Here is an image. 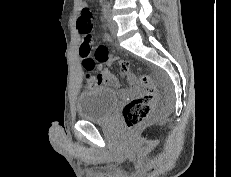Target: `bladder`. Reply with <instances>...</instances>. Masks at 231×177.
I'll return each mask as SVG.
<instances>
[{"label":"bladder","instance_id":"obj_1","mask_svg":"<svg viewBox=\"0 0 231 177\" xmlns=\"http://www.w3.org/2000/svg\"><path fill=\"white\" fill-rule=\"evenodd\" d=\"M118 102L115 91L105 87H95L82 92L77 100V116L85 121H104Z\"/></svg>","mask_w":231,"mask_h":177}]
</instances>
